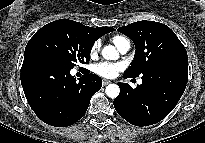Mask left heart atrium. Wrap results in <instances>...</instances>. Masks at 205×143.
Returning <instances> with one entry per match:
<instances>
[{
  "mask_svg": "<svg viewBox=\"0 0 205 143\" xmlns=\"http://www.w3.org/2000/svg\"><path fill=\"white\" fill-rule=\"evenodd\" d=\"M122 68L120 63L100 62L94 66V72L105 78H114Z\"/></svg>",
  "mask_w": 205,
  "mask_h": 143,
  "instance_id": "obj_1",
  "label": "left heart atrium"
}]
</instances>
